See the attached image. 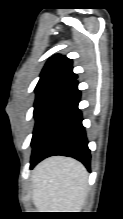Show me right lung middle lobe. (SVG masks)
Returning a JSON list of instances; mask_svg holds the SVG:
<instances>
[{"instance_id": "dd1d6c3e", "label": "right lung middle lobe", "mask_w": 123, "mask_h": 219, "mask_svg": "<svg viewBox=\"0 0 123 219\" xmlns=\"http://www.w3.org/2000/svg\"><path fill=\"white\" fill-rule=\"evenodd\" d=\"M71 83L66 81L52 82L35 88L36 100L34 104V117L36 119L31 145L37 140L42 124L51 107L63 95Z\"/></svg>"}]
</instances>
